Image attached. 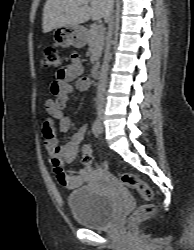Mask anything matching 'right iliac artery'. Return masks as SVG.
Returning <instances> with one entry per match:
<instances>
[{
  "label": "right iliac artery",
  "instance_id": "82829eb1",
  "mask_svg": "<svg viewBox=\"0 0 194 250\" xmlns=\"http://www.w3.org/2000/svg\"><path fill=\"white\" fill-rule=\"evenodd\" d=\"M92 132L94 134V136L98 137L99 133H100V124H99V120L96 119L94 122H93V125H92Z\"/></svg>",
  "mask_w": 194,
  "mask_h": 250
}]
</instances>
